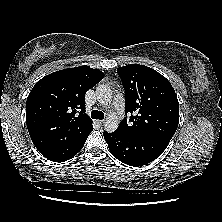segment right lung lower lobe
Listing matches in <instances>:
<instances>
[{
	"instance_id": "1",
	"label": "right lung lower lobe",
	"mask_w": 222,
	"mask_h": 222,
	"mask_svg": "<svg viewBox=\"0 0 222 222\" xmlns=\"http://www.w3.org/2000/svg\"><path fill=\"white\" fill-rule=\"evenodd\" d=\"M87 137L84 140L77 142L76 144H73L71 146L44 150V151H41V154L44 157H46L48 160H51L54 162H64L68 159H71L74 155H76L83 148Z\"/></svg>"
}]
</instances>
